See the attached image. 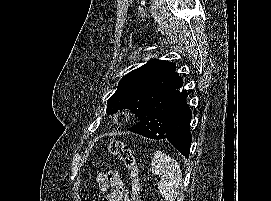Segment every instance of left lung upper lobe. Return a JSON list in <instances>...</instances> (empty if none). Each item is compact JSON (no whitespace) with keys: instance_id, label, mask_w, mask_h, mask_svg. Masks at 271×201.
Listing matches in <instances>:
<instances>
[{"instance_id":"1","label":"left lung upper lobe","mask_w":271,"mask_h":201,"mask_svg":"<svg viewBox=\"0 0 271 201\" xmlns=\"http://www.w3.org/2000/svg\"><path fill=\"white\" fill-rule=\"evenodd\" d=\"M175 68L173 62L153 59L125 75L108 101L107 114L130 109L140 120L141 135L162 138L183 84Z\"/></svg>"}]
</instances>
